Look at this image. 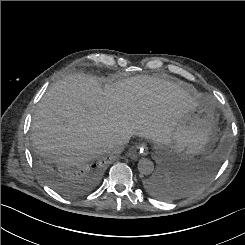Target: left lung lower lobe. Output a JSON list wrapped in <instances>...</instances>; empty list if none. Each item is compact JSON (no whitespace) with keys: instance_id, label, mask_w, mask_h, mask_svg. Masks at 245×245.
I'll return each instance as SVG.
<instances>
[{"instance_id":"1","label":"left lung lower lobe","mask_w":245,"mask_h":245,"mask_svg":"<svg viewBox=\"0 0 245 245\" xmlns=\"http://www.w3.org/2000/svg\"><path fill=\"white\" fill-rule=\"evenodd\" d=\"M145 190L159 199H167L171 195L169 186L166 184V174H154L143 182Z\"/></svg>"}]
</instances>
